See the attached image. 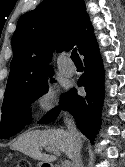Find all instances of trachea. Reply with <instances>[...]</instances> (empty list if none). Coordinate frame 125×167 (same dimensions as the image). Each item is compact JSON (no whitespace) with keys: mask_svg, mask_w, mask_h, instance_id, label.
Listing matches in <instances>:
<instances>
[{"mask_svg":"<svg viewBox=\"0 0 125 167\" xmlns=\"http://www.w3.org/2000/svg\"><path fill=\"white\" fill-rule=\"evenodd\" d=\"M71 59L75 65H82V61L77 53L76 48H74L72 53H71Z\"/></svg>","mask_w":125,"mask_h":167,"instance_id":"1","label":"trachea"}]
</instances>
